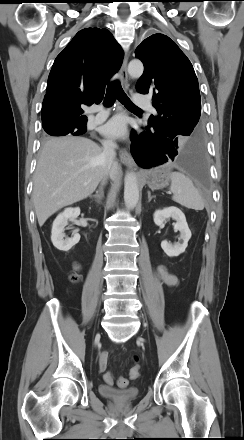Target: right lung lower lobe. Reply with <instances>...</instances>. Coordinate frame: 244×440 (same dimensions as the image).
<instances>
[{
	"label": "right lung lower lobe",
	"mask_w": 244,
	"mask_h": 440,
	"mask_svg": "<svg viewBox=\"0 0 244 440\" xmlns=\"http://www.w3.org/2000/svg\"><path fill=\"white\" fill-rule=\"evenodd\" d=\"M86 131V130H85ZM85 131L84 132H79V134H77V135H81V134H84L85 133Z\"/></svg>",
	"instance_id": "obj_1"
}]
</instances>
